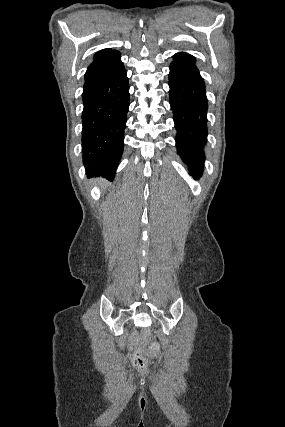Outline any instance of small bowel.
Returning <instances> with one entry per match:
<instances>
[{
  "label": "small bowel",
  "instance_id": "c3829d8e",
  "mask_svg": "<svg viewBox=\"0 0 285 427\" xmlns=\"http://www.w3.org/2000/svg\"><path fill=\"white\" fill-rule=\"evenodd\" d=\"M135 345V339H131L129 342V346L132 347Z\"/></svg>",
  "mask_w": 285,
  "mask_h": 427
}]
</instances>
